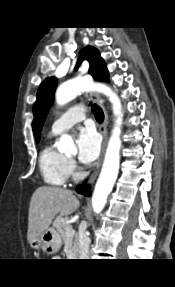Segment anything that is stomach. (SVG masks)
I'll return each instance as SVG.
<instances>
[{
  "label": "stomach",
  "mask_w": 175,
  "mask_h": 287,
  "mask_svg": "<svg viewBox=\"0 0 175 287\" xmlns=\"http://www.w3.org/2000/svg\"><path fill=\"white\" fill-rule=\"evenodd\" d=\"M62 241L59 233L49 228L37 237L33 238L30 246L36 250L42 249L47 254H54L59 251Z\"/></svg>",
  "instance_id": "1"
}]
</instances>
